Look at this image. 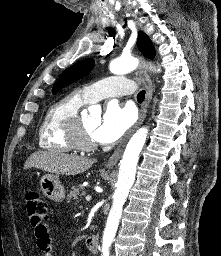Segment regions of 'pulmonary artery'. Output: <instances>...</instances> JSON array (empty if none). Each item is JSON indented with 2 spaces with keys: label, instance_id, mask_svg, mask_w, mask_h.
<instances>
[{
  "label": "pulmonary artery",
  "instance_id": "e3ab8cb5",
  "mask_svg": "<svg viewBox=\"0 0 221 256\" xmlns=\"http://www.w3.org/2000/svg\"><path fill=\"white\" fill-rule=\"evenodd\" d=\"M133 82L125 77L112 76L84 86L80 92L87 102L93 103L107 97H121L133 93Z\"/></svg>",
  "mask_w": 221,
  "mask_h": 256
}]
</instances>
